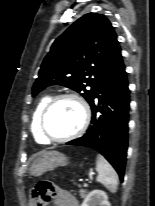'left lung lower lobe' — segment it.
I'll return each mask as SVG.
<instances>
[{
	"label": "left lung lower lobe",
	"instance_id": "1",
	"mask_svg": "<svg viewBox=\"0 0 155 206\" xmlns=\"http://www.w3.org/2000/svg\"><path fill=\"white\" fill-rule=\"evenodd\" d=\"M129 88L122 56L108 72L90 106L92 122L86 134L67 142L97 150L115 168L123 181L129 121Z\"/></svg>",
	"mask_w": 155,
	"mask_h": 206
}]
</instances>
